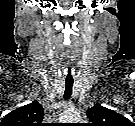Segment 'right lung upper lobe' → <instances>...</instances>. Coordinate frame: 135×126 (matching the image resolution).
<instances>
[{
	"label": "right lung upper lobe",
	"instance_id": "1",
	"mask_svg": "<svg viewBox=\"0 0 135 126\" xmlns=\"http://www.w3.org/2000/svg\"><path fill=\"white\" fill-rule=\"evenodd\" d=\"M44 109L33 101L8 113L0 123L2 126H40L43 120Z\"/></svg>",
	"mask_w": 135,
	"mask_h": 126
}]
</instances>
